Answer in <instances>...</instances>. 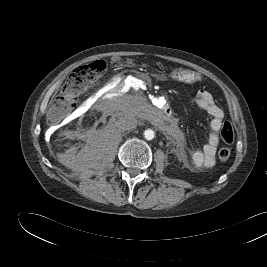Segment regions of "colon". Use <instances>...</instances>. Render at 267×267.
<instances>
[{
  "instance_id": "obj_1",
  "label": "colon",
  "mask_w": 267,
  "mask_h": 267,
  "mask_svg": "<svg viewBox=\"0 0 267 267\" xmlns=\"http://www.w3.org/2000/svg\"><path fill=\"white\" fill-rule=\"evenodd\" d=\"M106 68L107 63L102 60L75 68L68 75L61 94L54 101L48 113L49 122L59 123L65 118L73 110L78 95L93 84L104 73ZM221 137L228 144L234 141L235 132L229 122L223 124ZM230 155L231 150L228 147H222L218 151V157L221 161H227Z\"/></svg>"
}]
</instances>
